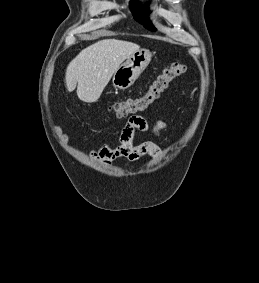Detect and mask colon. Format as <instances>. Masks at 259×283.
Here are the masks:
<instances>
[{
	"label": "colon",
	"mask_w": 259,
	"mask_h": 283,
	"mask_svg": "<svg viewBox=\"0 0 259 283\" xmlns=\"http://www.w3.org/2000/svg\"><path fill=\"white\" fill-rule=\"evenodd\" d=\"M186 71L187 66L184 63H172L153 80L143 95L118 101L111 105L110 111L117 118H123L146 110L161 96L174 79L183 75Z\"/></svg>",
	"instance_id": "5ec220e1"
}]
</instances>
